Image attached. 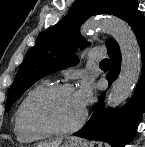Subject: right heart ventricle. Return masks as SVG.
<instances>
[{"mask_svg": "<svg viewBox=\"0 0 145 147\" xmlns=\"http://www.w3.org/2000/svg\"><path fill=\"white\" fill-rule=\"evenodd\" d=\"M49 85L51 84L48 80L38 82L18 103L14 113V133L18 141L23 143H31L43 140L49 136L48 133L30 126L25 119V108L30 97Z\"/></svg>", "mask_w": 145, "mask_h": 147, "instance_id": "e07e8e85", "label": "right heart ventricle"}]
</instances>
